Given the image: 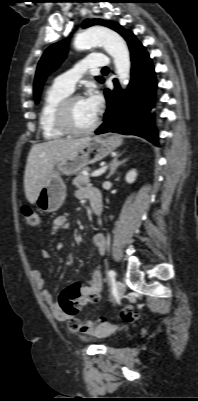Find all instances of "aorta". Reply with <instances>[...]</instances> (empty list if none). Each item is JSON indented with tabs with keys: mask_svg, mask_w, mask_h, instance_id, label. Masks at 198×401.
Listing matches in <instances>:
<instances>
[{
	"mask_svg": "<svg viewBox=\"0 0 198 401\" xmlns=\"http://www.w3.org/2000/svg\"><path fill=\"white\" fill-rule=\"evenodd\" d=\"M102 45L113 57L119 82L126 86L130 79V54L124 39L116 32L101 26H95L78 34L74 41L77 50H86Z\"/></svg>",
	"mask_w": 198,
	"mask_h": 401,
	"instance_id": "aorta-1",
	"label": "aorta"
}]
</instances>
